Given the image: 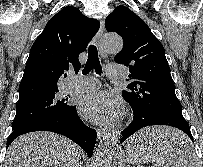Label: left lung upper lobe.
Listing matches in <instances>:
<instances>
[{
  "instance_id": "5c2ea615",
  "label": "left lung upper lobe",
  "mask_w": 203,
  "mask_h": 167,
  "mask_svg": "<svg viewBox=\"0 0 203 167\" xmlns=\"http://www.w3.org/2000/svg\"><path fill=\"white\" fill-rule=\"evenodd\" d=\"M105 27L124 42L114 61L129 67L127 81L131 82L122 96L133 112L140 117L182 112L164 47L144 21L129 8L118 6L106 18Z\"/></svg>"
}]
</instances>
